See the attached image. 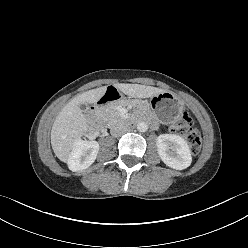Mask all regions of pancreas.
Listing matches in <instances>:
<instances>
[{
    "label": "pancreas",
    "mask_w": 248,
    "mask_h": 248,
    "mask_svg": "<svg viewBox=\"0 0 248 248\" xmlns=\"http://www.w3.org/2000/svg\"><path fill=\"white\" fill-rule=\"evenodd\" d=\"M103 117L108 125H112L116 121L122 119L121 115L118 112L117 106H111V107L106 108L104 110Z\"/></svg>",
    "instance_id": "obj_1"
}]
</instances>
